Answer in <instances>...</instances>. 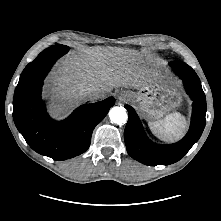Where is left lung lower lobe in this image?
I'll return each mask as SVG.
<instances>
[{"label":"left lung lower lobe","instance_id":"left-lung-lower-lobe-1","mask_svg":"<svg viewBox=\"0 0 221 221\" xmlns=\"http://www.w3.org/2000/svg\"><path fill=\"white\" fill-rule=\"evenodd\" d=\"M174 72L183 80L187 94L193 100L191 124L186 136L170 145L152 143L145 135L135 110L126 105L129 119L124 131L128 154L150 166L169 165L179 161L200 138L206 123V97L195 71L182 61L170 62Z\"/></svg>","mask_w":221,"mask_h":221}]
</instances>
